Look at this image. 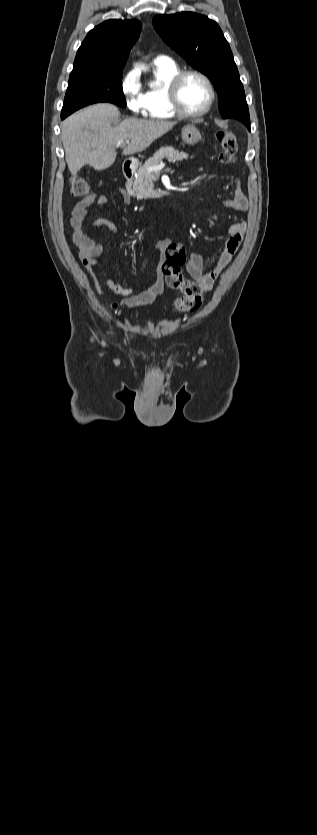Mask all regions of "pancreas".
<instances>
[{
  "label": "pancreas",
  "mask_w": 317,
  "mask_h": 835,
  "mask_svg": "<svg viewBox=\"0 0 317 835\" xmlns=\"http://www.w3.org/2000/svg\"><path fill=\"white\" fill-rule=\"evenodd\" d=\"M188 158V154L179 152L172 146H165L160 148L153 157L149 158L143 166H141L135 176L134 180L127 183V192L129 195L137 197L138 199L159 198L161 191L154 190L153 178L159 174V171L148 172L149 167L156 166L162 163L163 159L169 162L182 161Z\"/></svg>",
  "instance_id": "1"
}]
</instances>
